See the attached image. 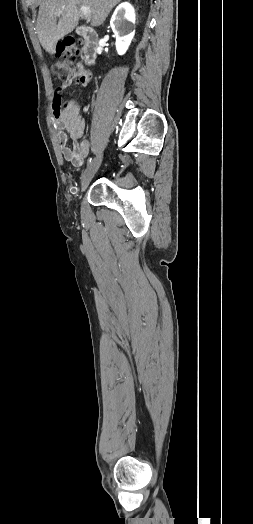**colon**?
I'll list each match as a JSON object with an SVG mask.
<instances>
[{
  "mask_svg": "<svg viewBox=\"0 0 253 524\" xmlns=\"http://www.w3.org/2000/svg\"><path fill=\"white\" fill-rule=\"evenodd\" d=\"M83 42L75 36H66L57 45L58 57L52 64V72L57 76L63 85L72 82L78 83L80 90H89L91 82L87 71L82 68V63L78 59L81 56V46ZM68 103L60 98L53 104V112L57 116L67 107Z\"/></svg>",
  "mask_w": 253,
  "mask_h": 524,
  "instance_id": "1",
  "label": "colon"
}]
</instances>
